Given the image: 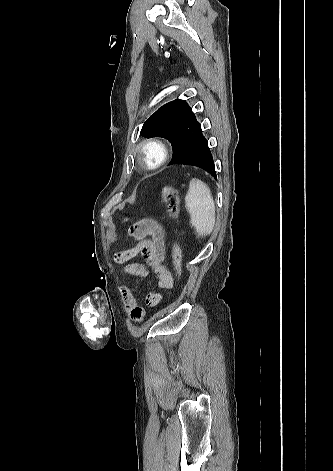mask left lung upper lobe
<instances>
[{"label": "left lung upper lobe", "instance_id": "obj_1", "mask_svg": "<svg viewBox=\"0 0 333 471\" xmlns=\"http://www.w3.org/2000/svg\"><path fill=\"white\" fill-rule=\"evenodd\" d=\"M200 123L184 100L176 99L159 108L144 123L140 134L146 138L162 137L169 140L173 157L195 136Z\"/></svg>", "mask_w": 333, "mask_h": 471}]
</instances>
